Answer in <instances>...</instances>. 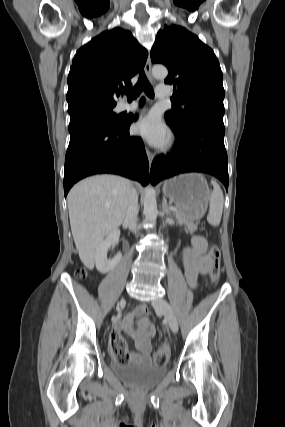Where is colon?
I'll return each mask as SVG.
<instances>
[{"instance_id":"colon-1","label":"colon","mask_w":285,"mask_h":427,"mask_svg":"<svg viewBox=\"0 0 285 427\" xmlns=\"http://www.w3.org/2000/svg\"><path fill=\"white\" fill-rule=\"evenodd\" d=\"M211 258L210 279L213 283H217L221 276V252L217 245L211 246L209 250ZM86 275L84 270H79L77 276L84 278ZM110 352L112 356L120 362H125L128 359L129 351L125 340L119 335H111ZM169 358V349L166 346H160L153 354V362L155 365L164 366Z\"/></svg>"}]
</instances>
